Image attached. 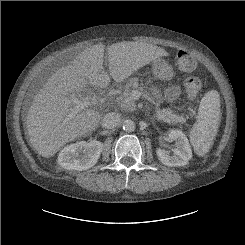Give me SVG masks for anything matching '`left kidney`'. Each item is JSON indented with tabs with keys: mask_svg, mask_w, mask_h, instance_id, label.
Here are the masks:
<instances>
[{
	"mask_svg": "<svg viewBox=\"0 0 245 245\" xmlns=\"http://www.w3.org/2000/svg\"><path fill=\"white\" fill-rule=\"evenodd\" d=\"M169 141L175 142L173 154L170 155L164 149H157L156 153L160 162L166 166H184L192 158V150L186 135L180 130L167 131Z\"/></svg>",
	"mask_w": 245,
	"mask_h": 245,
	"instance_id": "1",
	"label": "left kidney"
}]
</instances>
